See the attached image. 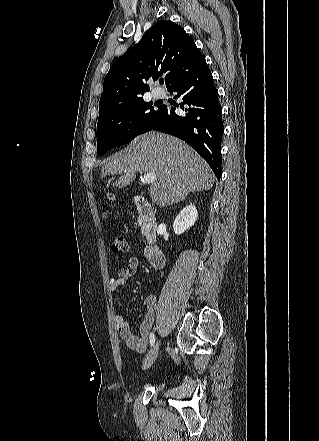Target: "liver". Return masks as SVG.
Segmentation results:
<instances>
[{
	"label": "liver",
	"instance_id": "6515ba94",
	"mask_svg": "<svg viewBox=\"0 0 319 441\" xmlns=\"http://www.w3.org/2000/svg\"><path fill=\"white\" fill-rule=\"evenodd\" d=\"M138 171L154 172L149 193L160 207L183 201L189 192L209 190L215 181L212 170L184 141L151 131L138 136L124 152L109 157L101 177L120 174L113 186L125 187Z\"/></svg>",
	"mask_w": 319,
	"mask_h": 441
}]
</instances>
